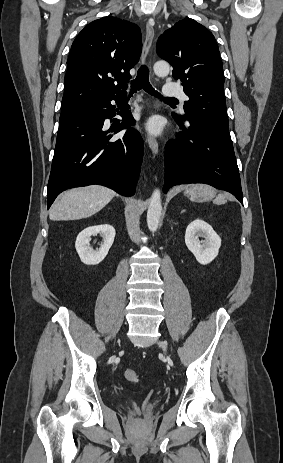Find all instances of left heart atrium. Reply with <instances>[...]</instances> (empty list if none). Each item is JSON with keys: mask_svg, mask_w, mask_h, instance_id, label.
I'll use <instances>...</instances> for the list:
<instances>
[{"mask_svg": "<svg viewBox=\"0 0 283 463\" xmlns=\"http://www.w3.org/2000/svg\"><path fill=\"white\" fill-rule=\"evenodd\" d=\"M148 130L154 134H157L161 130L160 121L157 118L151 119L148 123Z\"/></svg>", "mask_w": 283, "mask_h": 463, "instance_id": "obj_1", "label": "left heart atrium"}]
</instances>
